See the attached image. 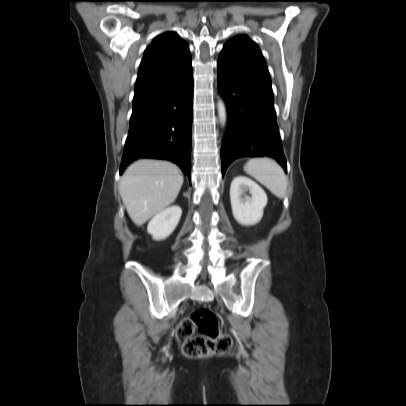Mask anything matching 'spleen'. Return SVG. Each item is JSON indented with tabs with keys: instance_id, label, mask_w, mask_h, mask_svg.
<instances>
[{
	"instance_id": "obj_1",
	"label": "spleen",
	"mask_w": 406,
	"mask_h": 406,
	"mask_svg": "<svg viewBox=\"0 0 406 406\" xmlns=\"http://www.w3.org/2000/svg\"><path fill=\"white\" fill-rule=\"evenodd\" d=\"M247 174L251 175L275 196L283 198L286 193L288 179L283 169L269 158H254L244 166Z\"/></svg>"
}]
</instances>
